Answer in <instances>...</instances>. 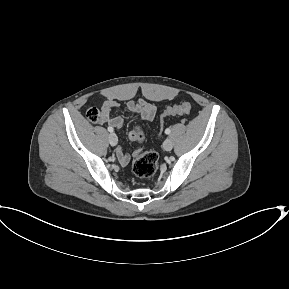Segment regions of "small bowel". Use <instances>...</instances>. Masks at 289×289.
<instances>
[{"label": "small bowel", "mask_w": 289, "mask_h": 289, "mask_svg": "<svg viewBox=\"0 0 289 289\" xmlns=\"http://www.w3.org/2000/svg\"><path fill=\"white\" fill-rule=\"evenodd\" d=\"M119 103L113 99H107L102 107L101 111L103 113V119L101 122L107 123L109 127L120 129L123 125V119L120 116L111 117V111L118 107ZM127 109L136 117L151 121L154 119L156 114V106L152 103L146 101H128ZM116 156L122 165H127L130 161V155L125 153L120 147L116 150Z\"/></svg>", "instance_id": "c3829d8e"}]
</instances>
